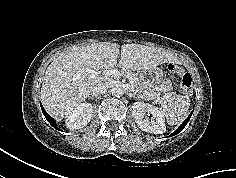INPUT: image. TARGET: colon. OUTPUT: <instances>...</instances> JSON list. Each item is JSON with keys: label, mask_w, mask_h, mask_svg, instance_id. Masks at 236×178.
<instances>
[{"label": "colon", "mask_w": 236, "mask_h": 178, "mask_svg": "<svg viewBox=\"0 0 236 178\" xmlns=\"http://www.w3.org/2000/svg\"><path fill=\"white\" fill-rule=\"evenodd\" d=\"M168 72L173 76L181 77V89L185 95H190L192 92L193 79L189 73L183 71V69L176 64H170L168 66Z\"/></svg>", "instance_id": "1"}]
</instances>
